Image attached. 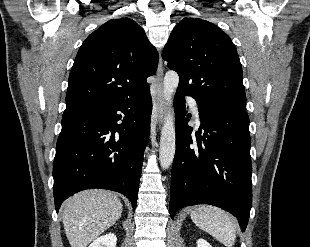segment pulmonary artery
Masks as SVG:
<instances>
[{"label":"pulmonary artery","instance_id":"1","mask_svg":"<svg viewBox=\"0 0 310 247\" xmlns=\"http://www.w3.org/2000/svg\"><path fill=\"white\" fill-rule=\"evenodd\" d=\"M187 103H188L189 107L191 108L194 116L197 119H199V109H198V104H197L196 100L192 97H187Z\"/></svg>","mask_w":310,"mask_h":247}]
</instances>
